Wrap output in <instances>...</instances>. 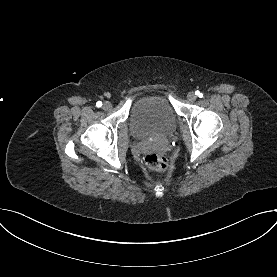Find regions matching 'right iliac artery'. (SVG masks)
Instances as JSON below:
<instances>
[{"label":"right iliac artery","mask_w":277,"mask_h":277,"mask_svg":"<svg viewBox=\"0 0 277 277\" xmlns=\"http://www.w3.org/2000/svg\"><path fill=\"white\" fill-rule=\"evenodd\" d=\"M96 106H97V107H101V106H102V102H101V101H98V102L96 103Z\"/></svg>","instance_id":"82829eb1"}]
</instances>
